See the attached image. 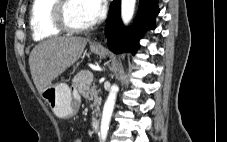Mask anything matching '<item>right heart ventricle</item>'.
<instances>
[{
  "mask_svg": "<svg viewBox=\"0 0 227 142\" xmlns=\"http://www.w3.org/2000/svg\"><path fill=\"white\" fill-rule=\"evenodd\" d=\"M57 0H33L30 11V27L34 40L41 41L59 36L62 31L57 29L51 19V10Z\"/></svg>",
  "mask_w": 227,
  "mask_h": 142,
  "instance_id": "obj_1",
  "label": "right heart ventricle"
}]
</instances>
